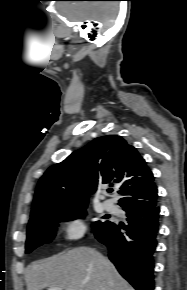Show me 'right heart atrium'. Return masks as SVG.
I'll list each match as a JSON object with an SVG mask.
<instances>
[{
	"mask_svg": "<svg viewBox=\"0 0 187 290\" xmlns=\"http://www.w3.org/2000/svg\"><path fill=\"white\" fill-rule=\"evenodd\" d=\"M64 237L67 242L74 243L81 240L87 233V224L82 216H72L63 225Z\"/></svg>",
	"mask_w": 187,
	"mask_h": 290,
	"instance_id": "1",
	"label": "right heart atrium"
}]
</instances>
